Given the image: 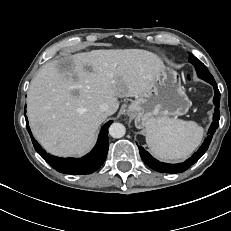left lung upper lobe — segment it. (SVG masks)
<instances>
[{
	"mask_svg": "<svg viewBox=\"0 0 231 231\" xmlns=\"http://www.w3.org/2000/svg\"><path fill=\"white\" fill-rule=\"evenodd\" d=\"M189 55H190L189 62L194 65L198 77L207 81V82L215 81L213 76L209 73L206 66L198 58H196L194 55H192L191 53H189Z\"/></svg>",
	"mask_w": 231,
	"mask_h": 231,
	"instance_id": "obj_1",
	"label": "left lung upper lobe"
}]
</instances>
